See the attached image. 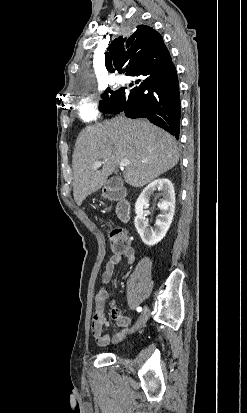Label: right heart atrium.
<instances>
[{"mask_svg": "<svg viewBox=\"0 0 247 413\" xmlns=\"http://www.w3.org/2000/svg\"><path fill=\"white\" fill-rule=\"evenodd\" d=\"M95 108L94 100H83L82 105H78L77 112L80 119H85L87 123H90L92 119H100L102 112L100 110H91ZM101 130V129H97Z\"/></svg>", "mask_w": 247, "mask_h": 413, "instance_id": "d8ad5b80", "label": "right heart atrium"}]
</instances>
